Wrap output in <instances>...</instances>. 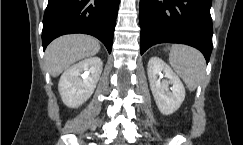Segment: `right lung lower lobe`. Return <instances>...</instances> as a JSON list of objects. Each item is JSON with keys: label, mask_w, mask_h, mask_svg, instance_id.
<instances>
[{"label": "right lung lower lobe", "mask_w": 243, "mask_h": 145, "mask_svg": "<svg viewBox=\"0 0 243 145\" xmlns=\"http://www.w3.org/2000/svg\"><path fill=\"white\" fill-rule=\"evenodd\" d=\"M119 3L120 0H48L43 48L61 35L85 33L101 40L110 53Z\"/></svg>", "instance_id": "1"}]
</instances>
